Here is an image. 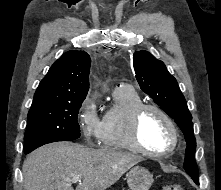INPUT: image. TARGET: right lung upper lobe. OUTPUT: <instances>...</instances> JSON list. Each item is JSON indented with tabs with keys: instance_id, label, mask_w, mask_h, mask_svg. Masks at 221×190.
Listing matches in <instances>:
<instances>
[{
	"instance_id": "1",
	"label": "right lung upper lobe",
	"mask_w": 221,
	"mask_h": 190,
	"mask_svg": "<svg viewBox=\"0 0 221 190\" xmlns=\"http://www.w3.org/2000/svg\"><path fill=\"white\" fill-rule=\"evenodd\" d=\"M91 59L85 51L64 53L40 82L32 106L84 101L89 90Z\"/></svg>"
}]
</instances>
